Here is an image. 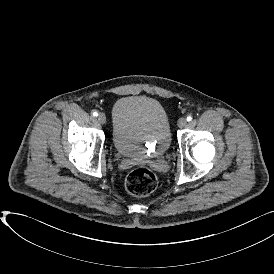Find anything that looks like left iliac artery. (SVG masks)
Returning a JSON list of instances; mask_svg holds the SVG:
<instances>
[{
    "label": "left iliac artery",
    "mask_w": 274,
    "mask_h": 274,
    "mask_svg": "<svg viewBox=\"0 0 274 274\" xmlns=\"http://www.w3.org/2000/svg\"><path fill=\"white\" fill-rule=\"evenodd\" d=\"M192 120V117L191 116H188L187 117V121H191Z\"/></svg>",
    "instance_id": "obj_1"
}]
</instances>
